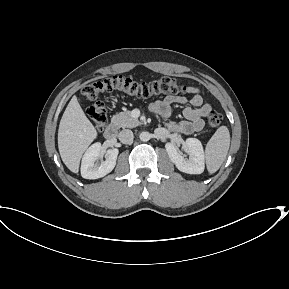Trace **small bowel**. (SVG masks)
<instances>
[{"label":"small bowel","instance_id":"c3829d8e","mask_svg":"<svg viewBox=\"0 0 289 289\" xmlns=\"http://www.w3.org/2000/svg\"><path fill=\"white\" fill-rule=\"evenodd\" d=\"M186 92L191 95L186 98L180 95H169L162 100L153 102L150 110L153 114L168 119L171 116L173 105H185L183 110L184 120L168 121L167 127L172 132L182 134H192L202 130L204 118L210 113L211 106L205 103L200 90L196 87H188Z\"/></svg>","mask_w":289,"mask_h":289}]
</instances>
